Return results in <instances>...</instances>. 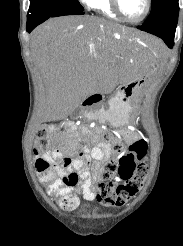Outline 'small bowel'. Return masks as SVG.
<instances>
[{
  "instance_id": "c3829d8e",
  "label": "small bowel",
  "mask_w": 183,
  "mask_h": 246,
  "mask_svg": "<svg viewBox=\"0 0 183 246\" xmlns=\"http://www.w3.org/2000/svg\"><path fill=\"white\" fill-rule=\"evenodd\" d=\"M96 134L100 131L96 130ZM127 145H132L139 140V135L132 130H122ZM89 134L88 129L82 128L81 132L75 137L84 138ZM111 152V143L100 138L95 139V145L90 148L84 146L82 154L87 157L85 160L79 159L68 166V164L59 165L57 161L61 160V153L58 148L44 155V158L53 165L50 174L42 175V182L48 185L50 193H56L61 198V204L66 208H74L80 199L94 200L95 190L94 181L99 178L101 164L106 161ZM81 154V155H82ZM90 159L93 163H90ZM63 178H76L73 183H64Z\"/></svg>"
}]
</instances>
